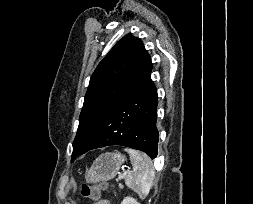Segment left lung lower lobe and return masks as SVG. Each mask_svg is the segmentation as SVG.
<instances>
[{"mask_svg":"<svg viewBox=\"0 0 253 204\" xmlns=\"http://www.w3.org/2000/svg\"><path fill=\"white\" fill-rule=\"evenodd\" d=\"M151 71L123 102L96 123L89 134L88 144L78 155L96 148L121 145L141 150L152 159L157 157L158 96Z\"/></svg>","mask_w":253,"mask_h":204,"instance_id":"left-lung-lower-lobe-1","label":"left lung lower lobe"}]
</instances>
